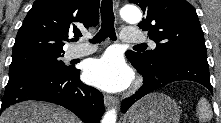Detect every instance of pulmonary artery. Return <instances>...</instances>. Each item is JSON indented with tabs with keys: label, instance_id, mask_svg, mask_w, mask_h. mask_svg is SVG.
<instances>
[{
	"label": "pulmonary artery",
	"instance_id": "obj_1",
	"mask_svg": "<svg viewBox=\"0 0 221 123\" xmlns=\"http://www.w3.org/2000/svg\"><path fill=\"white\" fill-rule=\"evenodd\" d=\"M122 40L128 43H139L146 40L145 34L137 28H126L122 32ZM153 44V43H152ZM96 47L87 44H78L71 47L67 52V57L70 59L89 55L95 52Z\"/></svg>",
	"mask_w": 221,
	"mask_h": 123
}]
</instances>
